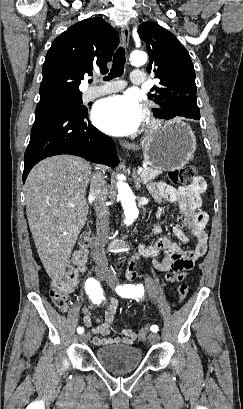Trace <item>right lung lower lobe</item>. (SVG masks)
<instances>
[{
  "mask_svg": "<svg viewBox=\"0 0 243 409\" xmlns=\"http://www.w3.org/2000/svg\"><path fill=\"white\" fill-rule=\"evenodd\" d=\"M59 154L77 155L111 167L118 164L114 141L90 123L88 111L37 108L24 155L23 183L35 164Z\"/></svg>",
  "mask_w": 243,
  "mask_h": 409,
  "instance_id": "right-lung-lower-lobe-1",
  "label": "right lung lower lobe"
}]
</instances>
